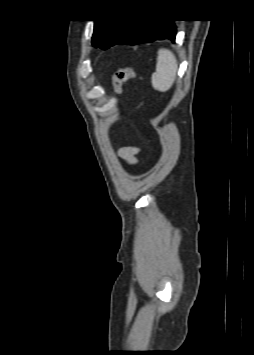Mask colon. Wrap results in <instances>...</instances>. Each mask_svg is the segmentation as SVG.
Listing matches in <instances>:
<instances>
[{
	"label": "colon",
	"mask_w": 254,
	"mask_h": 355,
	"mask_svg": "<svg viewBox=\"0 0 254 355\" xmlns=\"http://www.w3.org/2000/svg\"><path fill=\"white\" fill-rule=\"evenodd\" d=\"M137 78H139V75L133 69H129V68L117 69L114 72L113 77H112V85H113L114 93H116V94L121 93L125 82H127L128 80L137 79Z\"/></svg>",
	"instance_id": "obj_1"
}]
</instances>
